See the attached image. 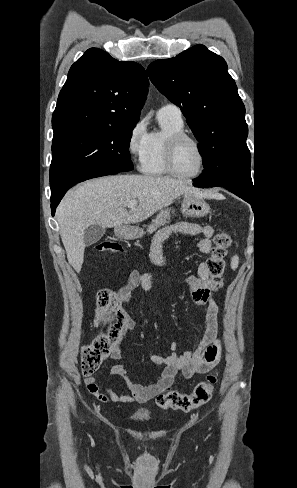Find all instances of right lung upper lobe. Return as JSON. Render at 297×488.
I'll use <instances>...</instances> for the list:
<instances>
[{
	"mask_svg": "<svg viewBox=\"0 0 297 488\" xmlns=\"http://www.w3.org/2000/svg\"><path fill=\"white\" fill-rule=\"evenodd\" d=\"M148 79L136 62L88 49L70 68L52 116L54 135L80 128L135 126Z\"/></svg>",
	"mask_w": 297,
	"mask_h": 488,
	"instance_id": "obj_1",
	"label": "right lung upper lobe"
}]
</instances>
